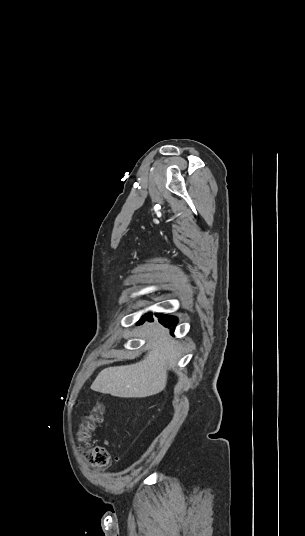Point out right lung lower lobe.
Listing matches in <instances>:
<instances>
[{"instance_id":"1","label":"right lung lower lobe","mask_w":305,"mask_h":536,"mask_svg":"<svg viewBox=\"0 0 305 536\" xmlns=\"http://www.w3.org/2000/svg\"><path fill=\"white\" fill-rule=\"evenodd\" d=\"M157 317H159V322L161 324H163L164 326L166 327H170V326H174L177 324V318L174 317V316H169V315H162V314H156ZM152 316L151 314H146L143 316V318L141 319V322H143L144 320H151ZM174 329V328H173ZM173 331V330H172Z\"/></svg>"}]
</instances>
